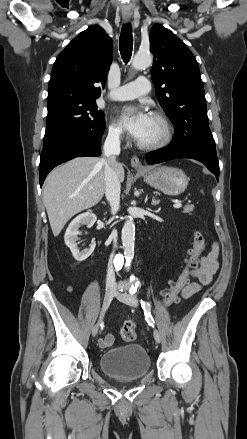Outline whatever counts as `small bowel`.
Segmentation results:
<instances>
[{
	"instance_id": "obj_1",
	"label": "small bowel",
	"mask_w": 247,
	"mask_h": 439,
	"mask_svg": "<svg viewBox=\"0 0 247 439\" xmlns=\"http://www.w3.org/2000/svg\"><path fill=\"white\" fill-rule=\"evenodd\" d=\"M218 256L219 246L217 243H214L211 250L199 259V263L191 275V278L194 281L190 282L182 290L181 296L183 298L191 297L192 295L197 293L202 286L211 283L213 276L217 272L219 267ZM113 344L114 337L112 334H107L104 338H101L99 340V345L102 348L110 347Z\"/></svg>"
}]
</instances>
